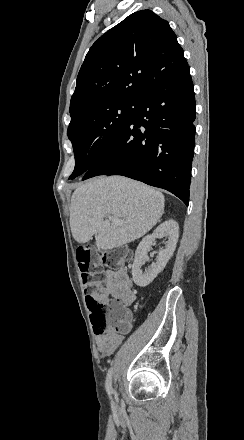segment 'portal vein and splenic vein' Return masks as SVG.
I'll return each mask as SVG.
<instances>
[{"label": "portal vein and splenic vein", "instance_id": "1", "mask_svg": "<svg viewBox=\"0 0 244 440\" xmlns=\"http://www.w3.org/2000/svg\"><path fill=\"white\" fill-rule=\"evenodd\" d=\"M110 222H112L113 226H121L123 224L122 220L116 218V216H108Z\"/></svg>", "mask_w": 244, "mask_h": 440}]
</instances>
